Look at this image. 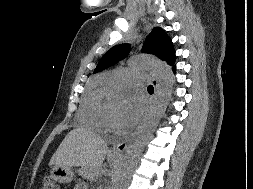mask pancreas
<instances>
[{
	"label": "pancreas",
	"mask_w": 253,
	"mask_h": 189,
	"mask_svg": "<svg viewBox=\"0 0 253 189\" xmlns=\"http://www.w3.org/2000/svg\"><path fill=\"white\" fill-rule=\"evenodd\" d=\"M80 175L86 179H93L95 171L90 167L84 166L80 169Z\"/></svg>",
	"instance_id": "pancreas-1"
}]
</instances>
